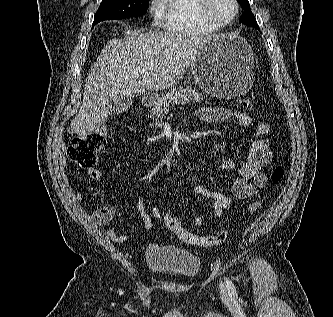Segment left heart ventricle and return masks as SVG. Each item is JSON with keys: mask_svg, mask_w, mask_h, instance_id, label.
I'll return each instance as SVG.
<instances>
[{"mask_svg": "<svg viewBox=\"0 0 333 317\" xmlns=\"http://www.w3.org/2000/svg\"><path fill=\"white\" fill-rule=\"evenodd\" d=\"M210 12L218 20L229 19L234 13V5L231 0H211Z\"/></svg>", "mask_w": 333, "mask_h": 317, "instance_id": "b2bd125f", "label": "left heart ventricle"}]
</instances>
